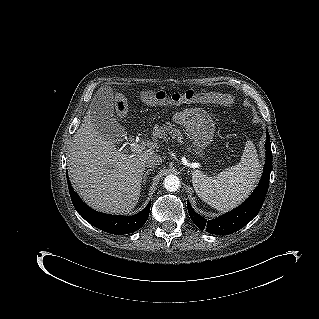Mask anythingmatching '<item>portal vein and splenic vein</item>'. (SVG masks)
Here are the masks:
<instances>
[{
	"label": "portal vein and splenic vein",
	"instance_id": "obj_1",
	"mask_svg": "<svg viewBox=\"0 0 319 319\" xmlns=\"http://www.w3.org/2000/svg\"><path fill=\"white\" fill-rule=\"evenodd\" d=\"M130 149L134 153H138V152H141L143 150V145H140V144H137V143H132V144H130Z\"/></svg>",
	"mask_w": 319,
	"mask_h": 319
}]
</instances>
